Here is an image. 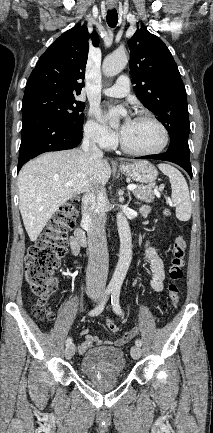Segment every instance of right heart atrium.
Wrapping results in <instances>:
<instances>
[{"mask_svg":"<svg viewBox=\"0 0 213 433\" xmlns=\"http://www.w3.org/2000/svg\"><path fill=\"white\" fill-rule=\"evenodd\" d=\"M84 134L91 142L105 149L113 147L116 142V136L98 121L95 113H90L84 125Z\"/></svg>","mask_w":213,"mask_h":433,"instance_id":"d8ad5b80","label":"right heart atrium"}]
</instances>
